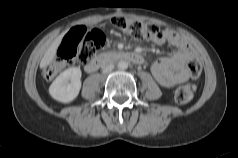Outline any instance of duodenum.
<instances>
[{"mask_svg": "<svg viewBox=\"0 0 238 158\" xmlns=\"http://www.w3.org/2000/svg\"><path fill=\"white\" fill-rule=\"evenodd\" d=\"M112 61H129L137 65H141L144 62L143 57L138 53H106L101 54L91 60L85 69L87 72H94L98 70L102 65Z\"/></svg>", "mask_w": 238, "mask_h": 158, "instance_id": "1", "label": "duodenum"}]
</instances>
